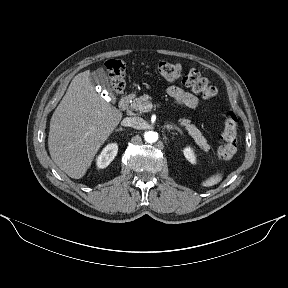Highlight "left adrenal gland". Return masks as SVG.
<instances>
[{"instance_id":"obj_1","label":"left adrenal gland","mask_w":288,"mask_h":288,"mask_svg":"<svg viewBox=\"0 0 288 288\" xmlns=\"http://www.w3.org/2000/svg\"><path fill=\"white\" fill-rule=\"evenodd\" d=\"M165 127L168 129V131L176 130V131H178L180 134L182 133L181 129H180L179 127H177L176 125L166 124ZM173 134H174V133H173Z\"/></svg>"}]
</instances>
